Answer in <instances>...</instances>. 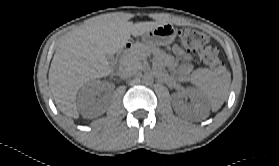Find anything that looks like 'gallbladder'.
<instances>
[{"instance_id": "gallbladder-1", "label": "gallbladder", "mask_w": 279, "mask_h": 166, "mask_svg": "<svg viewBox=\"0 0 279 166\" xmlns=\"http://www.w3.org/2000/svg\"><path fill=\"white\" fill-rule=\"evenodd\" d=\"M106 57L109 62H113L114 57L112 55H107Z\"/></svg>"}]
</instances>
